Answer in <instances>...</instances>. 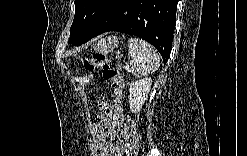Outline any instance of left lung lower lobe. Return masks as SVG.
I'll use <instances>...</instances> for the list:
<instances>
[{"instance_id":"1","label":"left lung lower lobe","mask_w":247,"mask_h":156,"mask_svg":"<svg viewBox=\"0 0 247 156\" xmlns=\"http://www.w3.org/2000/svg\"><path fill=\"white\" fill-rule=\"evenodd\" d=\"M176 10L177 0H111L85 42L107 31L136 35L155 46L165 64L171 52Z\"/></svg>"}]
</instances>
